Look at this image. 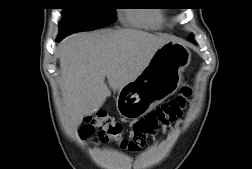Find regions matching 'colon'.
Wrapping results in <instances>:
<instances>
[{"instance_id": "1", "label": "colon", "mask_w": 252, "mask_h": 169, "mask_svg": "<svg viewBox=\"0 0 252 169\" xmlns=\"http://www.w3.org/2000/svg\"><path fill=\"white\" fill-rule=\"evenodd\" d=\"M191 95L192 89L183 87L178 96L139 119L127 137L123 135L122 126L104 112L88 115L80 129V136L87 139L97 133L94 142H113L123 149L139 151L151 136L180 119Z\"/></svg>"}]
</instances>
